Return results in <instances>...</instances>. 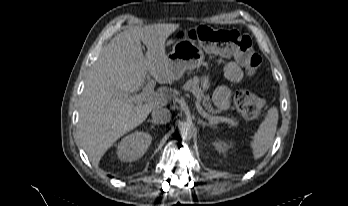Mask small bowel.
<instances>
[{"mask_svg":"<svg viewBox=\"0 0 348 206\" xmlns=\"http://www.w3.org/2000/svg\"><path fill=\"white\" fill-rule=\"evenodd\" d=\"M223 74L227 83L218 86L213 96L216 107L221 110L227 109L230 105V97H231L230 85L241 82L243 78V72L241 68L235 62L226 63L223 67ZM202 86L204 89L209 88L210 75H206L203 77Z\"/></svg>","mask_w":348,"mask_h":206,"instance_id":"small-bowel-1","label":"small bowel"}]
</instances>
